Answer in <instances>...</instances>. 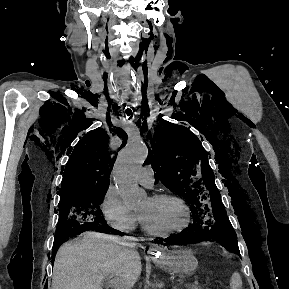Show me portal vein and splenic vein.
Segmentation results:
<instances>
[{
    "instance_id": "portal-vein-and-splenic-vein-1",
    "label": "portal vein and splenic vein",
    "mask_w": 289,
    "mask_h": 289,
    "mask_svg": "<svg viewBox=\"0 0 289 289\" xmlns=\"http://www.w3.org/2000/svg\"><path fill=\"white\" fill-rule=\"evenodd\" d=\"M111 280L108 281V286L112 287L113 289H125L124 284H122L119 278H113V276L109 277ZM198 282H195L193 285H188V287H197Z\"/></svg>"
}]
</instances>
